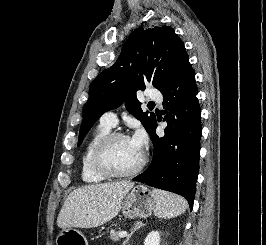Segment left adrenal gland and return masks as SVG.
<instances>
[{
  "instance_id": "left-adrenal-gland-1",
  "label": "left adrenal gland",
  "mask_w": 266,
  "mask_h": 245,
  "mask_svg": "<svg viewBox=\"0 0 266 245\" xmlns=\"http://www.w3.org/2000/svg\"><path fill=\"white\" fill-rule=\"evenodd\" d=\"M141 227H144L143 223H139V221H136V223H134L133 229H131L130 235H128V237H127L126 241H124L123 245H127L128 241H130L132 235H134V233H136V231H139V229H141Z\"/></svg>"
}]
</instances>
